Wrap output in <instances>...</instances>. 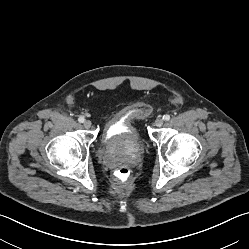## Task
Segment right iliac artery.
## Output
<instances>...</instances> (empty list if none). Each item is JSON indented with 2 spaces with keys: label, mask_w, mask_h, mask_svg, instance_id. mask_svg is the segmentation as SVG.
<instances>
[{
  "label": "right iliac artery",
  "mask_w": 249,
  "mask_h": 249,
  "mask_svg": "<svg viewBox=\"0 0 249 249\" xmlns=\"http://www.w3.org/2000/svg\"><path fill=\"white\" fill-rule=\"evenodd\" d=\"M78 121H79L80 123H83V122L85 121V118H84L83 116H80V117L78 118Z\"/></svg>",
  "instance_id": "obj_1"
}]
</instances>
